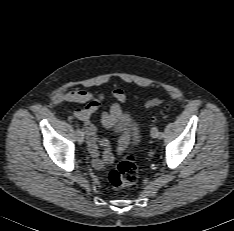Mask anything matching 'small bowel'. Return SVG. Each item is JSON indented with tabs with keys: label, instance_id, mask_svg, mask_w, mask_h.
I'll return each instance as SVG.
<instances>
[{
	"label": "small bowel",
	"instance_id": "obj_1",
	"mask_svg": "<svg viewBox=\"0 0 234 231\" xmlns=\"http://www.w3.org/2000/svg\"><path fill=\"white\" fill-rule=\"evenodd\" d=\"M103 96H94L85 90H72L63 95V99L67 102L86 103V106L77 109L73 115L78 120L82 121L85 126V133L88 140V150L91 155V164L97 170H103L107 165L113 164L117 155L123 153L130 140V132L128 128L124 129L120 136L116 148V152H112L107 141H100L96 135V127L91 122V117L100 107ZM114 102L111 104L108 111L101 115V123L106 128H113L121 115V104L126 100V95L123 90L116 89L113 92ZM101 144L104 147L102 155L99 154L98 146Z\"/></svg>",
	"mask_w": 234,
	"mask_h": 231
}]
</instances>
